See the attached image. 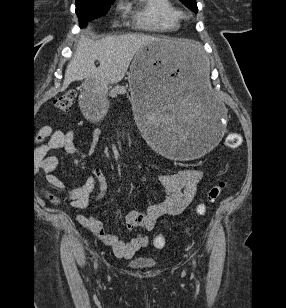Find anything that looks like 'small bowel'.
Segmentation results:
<instances>
[{
    "label": "small bowel",
    "mask_w": 286,
    "mask_h": 308,
    "mask_svg": "<svg viewBox=\"0 0 286 308\" xmlns=\"http://www.w3.org/2000/svg\"><path fill=\"white\" fill-rule=\"evenodd\" d=\"M100 134L98 128L92 130L93 144L90 153L94 151ZM37 138L41 143L38 150L39 166L44 172L45 179L62 192L66 199L70 200L72 207L86 208L92 197L100 198L105 194L108 181L106 175L99 168H95L84 185L77 188L65 187L54 174L57 159L48 155L49 151L63 149L72 155L80 153L75 143L73 131H53L51 127L44 126L38 131ZM201 179L202 171L196 167H188L174 173L159 175L157 180L163 190L162 199L150 204L144 211H130L125 218L126 227L129 230L141 228L145 231H151L161 216L181 214L194 199ZM46 197L53 202H60V199L56 197ZM77 221L87 227L120 258H131L137 251L147 247L149 243L148 237L143 233L136 234L128 242L121 240L117 235L107 232L102 222L94 215L78 216Z\"/></svg>",
    "instance_id": "obj_1"
}]
</instances>
